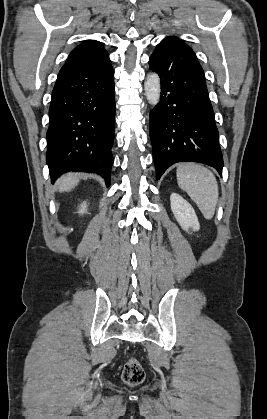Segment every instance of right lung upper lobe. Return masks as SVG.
I'll use <instances>...</instances> for the list:
<instances>
[{
  "instance_id": "right-lung-upper-lobe-1",
  "label": "right lung upper lobe",
  "mask_w": 267,
  "mask_h": 419,
  "mask_svg": "<svg viewBox=\"0 0 267 419\" xmlns=\"http://www.w3.org/2000/svg\"><path fill=\"white\" fill-rule=\"evenodd\" d=\"M108 61L109 55L103 45L96 40H87L70 53L65 65L97 66Z\"/></svg>"
}]
</instances>
